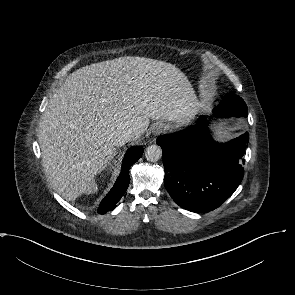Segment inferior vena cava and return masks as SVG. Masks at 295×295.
<instances>
[{"label":"inferior vena cava","instance_id":"1","mask_svg":"<svg viewBox=\"0 0 295 295\" xmlns=\"http://www.w3.org/2000/svg\"><path fill=\"white\" fill-rule=\"evenodd\" d=\"M136 136V131L133 129L124 130L118 137L115 139L114 144L116 146H122L126 142L130 141Z\"/></svg>","mask_w":295,"mask_h":295}]
</instances>
